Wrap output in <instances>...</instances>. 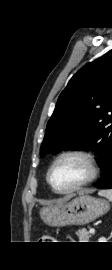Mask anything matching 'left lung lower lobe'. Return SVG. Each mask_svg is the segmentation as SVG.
<instances>
[{"label": "left lung lower lobe", "mask_w": 112, "mask_h": 270, "mask_svg": "<svg viewBox=\"0 0 112 270\" xmlns=\"http://www.w3.org/2000/svg\"><path fill=\"white\" fill-rule=\"evenodd\" d=\"M94 185L100 189L112 188V152L102 167L101 179Z\"/></svg>", "instance_id": "obj_1"}]
</instances>
